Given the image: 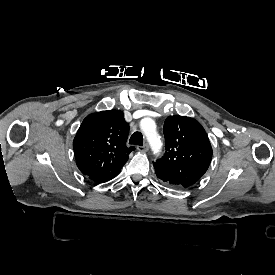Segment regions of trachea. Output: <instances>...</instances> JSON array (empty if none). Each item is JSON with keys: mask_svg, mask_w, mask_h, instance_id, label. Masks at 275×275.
<instances>
[{"mask_svg": "<svg viewBox=\"0 0 275 275\" xmlns=\"http://www.w3.org/2000/svg\"><path fill=\"white\" fill-rule=\"evenodd\" d=\"M129 144L131 145H143V136L140 132H135L132 134L129 140Z\"/></svg>", "mask_w": 275, "mask_h": 275, "instance_id": "3493384b", "label": "trachea"}]
</instances>
